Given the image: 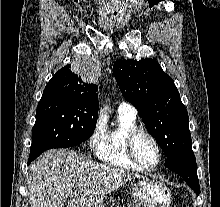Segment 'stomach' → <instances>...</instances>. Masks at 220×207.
<instances>
[{
	"mask_svg": "<svg viewBox=\"0 0 220 207\" xmlns=\"http://www.w3.org/2000/svg\"><path fill=\"white\" fill-rule=\"evenodd\" d=\"M133 207H170L172 194L169 187L157 177H143L132 186ZM95 207H104L101 204ZM131 207V204L128 205Z\"/></svg>",
	"mask_w": 220,
	"mask_h": 207,
	"instance_id": "1",
	"label": "stomach"
}]
</instances>
